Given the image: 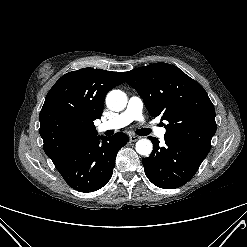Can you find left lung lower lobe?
<instances>
[{"label": "left lung lower lobe", "mask_w": 247, "mask_h": 247, "mask_svg": "<svg viewBox=\"0 0 247 247\" xmlns=\"http://www.w3.org/2000/svg\"><path fill=\"white\" fill-rule=\"evenodd\" d=\"M154 150L143 159L148 179L156 186L174 189L186 184L197 172L207 152L191 145L165 139L160 147L155 137H150Z\"/></svg>", "instance_id": "1"}]
</instances>
